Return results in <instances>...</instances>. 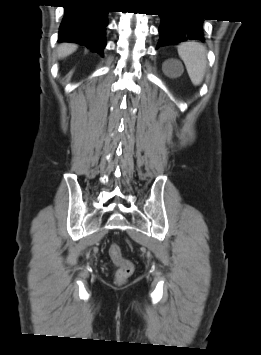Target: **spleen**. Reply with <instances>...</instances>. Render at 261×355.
<instances>
[{
  "label": "spleen",
  "instance_id": "spleen-1",
  "mask_svg": "<svg viewBox=\"0 0 261 355\" xmlns=\"http://www.w3.org/2000/svg\"><path fill=\"white\" fill-rule=\"evenodd\" d=\"M178 54L186 66L193 85H199L203 80L207 64L205 47L198 42H185L178 46Z\"/></svg>",
  "mask_w": 261,
  "mask_h": 355
}]
</instances>
